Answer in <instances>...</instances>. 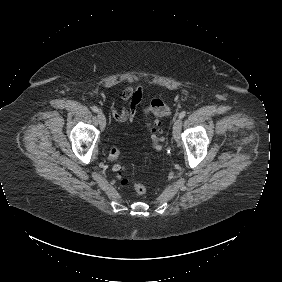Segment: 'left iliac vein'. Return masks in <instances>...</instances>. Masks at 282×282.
<instances>
[{
	"label": "left iliac vein",
	"mask_w": 282,
	"mask_h": 282,
	"mask_svg": "<svg viewBox=\"0 0 282 282\" xmlns=\"http://www.w3.org/2000/svg\"><path fill=\"white\" fill-rule=\"evenodd\" d=\"M181 127H182V120L181 118H178L177 120H175L173 124V137L176 142L180 140Z\"/></svg>",
	"instance_id": "obj_1"
}]
</instances>
